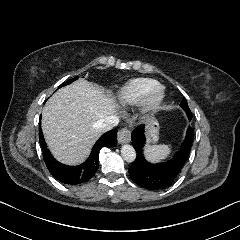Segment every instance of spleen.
<instances>
[{
  "label": "spleen",
  "mask_w": 240,
  "mask_h": 240,
  "mask_svg": "<svg viewBox=\"0 0 240 240\" xmlns=\"http://www.w3.org/2000/svg\"><path fill=\"white\" fill-rule=\"evenodd\" d=\"M173 151L172 144L163 145H147L142 147L143 159L151 165L158 164L162 161H166Z\"/></svg>",
  "instance_id": "1"
}]
</instances>
